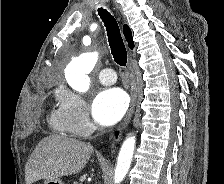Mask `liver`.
<instances>
[{"label":"liver","mask_w":224,"mask_h":184,"mask_svg":"<svg viewBox=\"0 0 224 184\" xmlns=\"http://www.w3.org/2000/svg\"><path fill=\"white\" fill-rule=\"evenodd\" d=\"M93 147L83 141L50 135L35 147L25 166V183L53 180L79 173L88 162Z\"/></svg>","instance_id":"liver-1"}]
</instances>
